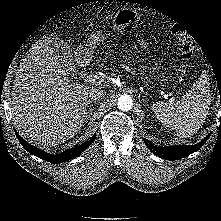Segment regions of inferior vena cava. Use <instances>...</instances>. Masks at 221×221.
I'll list each match as a JSON object with an SVG mask.
<instances>
[{
  "instance_id": "1",
  "label": "inferior vena cava",
  "mask_w": 221,
  "mask_h": 221,
  "mask_svg": "<svg viewBox=\"0 0 221 221\" xmlns=\"http://www.w3.org/2000/svg\"><path fill=\"white\" fill-rule=\"evenodd\" d=\"M106 95V92L104 90H101V89H92L90 90L89 92V97L91 100H101L105 97Z\"/></svg>"
}]
</instances>
